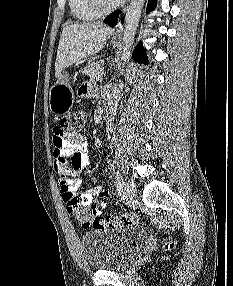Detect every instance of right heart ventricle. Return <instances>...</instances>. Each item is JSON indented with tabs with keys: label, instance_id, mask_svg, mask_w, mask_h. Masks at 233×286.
<instances>
[{
	"label": "right heart ventricle",
	"instance_id": "right-heart-ventricle-1",
	"mask_svg": "<svg viewBox=\"0 0 233 286\" xmlns=\"http://www.w3.org/2000/svg\"><path fill=\"white\" fill-rule=\"evenodd\" d=\"M68 2L72 14L79 21L90 22L99 17L90 0H68Z\"/></svg>",
	"mask_w": 233,
	"mask_h": 286
}]
</instances>
